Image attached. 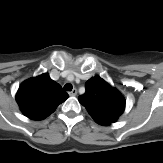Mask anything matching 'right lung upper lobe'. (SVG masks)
Returning a JSON list of instances; mask_svg holds the SVG:
<instances>
[{"mask_svg": "<svg viewBox=\"0 0 163 163\" xmlns=\"http://www.w3.org/2000/svg\"><path fill=\"white\" fill-rule=\"evenodd\" d=\"M69 95L48 73L27 79L16 94L22 113L32 120H43L52 114Z\"/></svg>", "mask_w": 163, "mask_h": 163, "instance_id": "obj_1", "label": "right lung upper lobe"}]
</instances>
